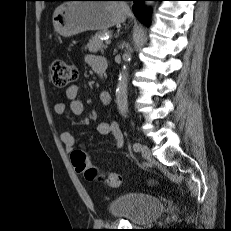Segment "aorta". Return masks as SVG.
Returning a JSON list of instances; mask_svg holds the SVG:
<instances>
[{"instance_id": "1", "label": "aorta", "mask_w": 231, "mask_h": 231, "mask_svg": "<svg viewBox=\"0 0 231 231\" xmlns=\"http://www.w3.org/2000/svg\"><path fill=\"white\" fill-rule=\"evenodd\" d=\"M151 2H145V6L149 7ZM131 51H125L123 54L124 65L119 75V80L116 88V104L119 113L126 117L128 112V101H127V87H128V65L130 61Z\"/></svg>"}]
</instances>
